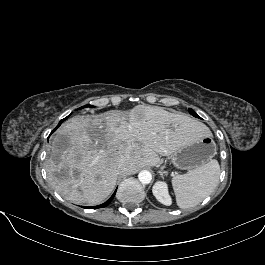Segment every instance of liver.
Listing matches in <instances>:
<instances>
[{
    "label": "liver",
    "mask_w": 265,
    "mask_h": 265,
    "mask_svg": "<svg viewBox=\"0 0 265 265\" xmlns=\"http://www.w3.org/2000/svg\"><path fill=\"white\" fill-rule=\"evenodd\" d=\"M210 134L208 127L189 116L156 106L138 105L128 114L112 110L75 116L53 138L47 177L66 200L99 204L114 190L120 173L155 166L159 155H172L185 140ZM121 160L126 163L123 172L118 167Z\"/></svg>",
    "instance_id": "liver-1"
}]
</instances>
